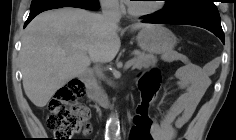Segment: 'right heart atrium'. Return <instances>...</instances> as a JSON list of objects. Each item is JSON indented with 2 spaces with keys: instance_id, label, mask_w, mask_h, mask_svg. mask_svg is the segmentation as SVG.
Masks as SVG:
<instances>
[{
  "instance_id": "d8ad5b80",
  "label": "right heart atrium",
  "mask_w": 236,
  "mask_h": 140,
  "mask_svg": "<svg viewBox=\"0 0 236 140\" xmlns=\"http://www.w3.org/2000/svg\"><path fill=\"white\" fill-rule=\"evenodd\" d=\"M103 9L112 14H122L124 7L120 0H101L100 1Z\"/></svg>"
}]
</instances>
